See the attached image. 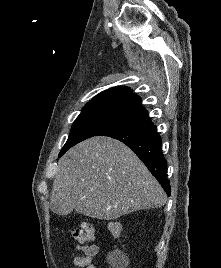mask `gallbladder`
<instances>
[{
  "label": "gallbladder",
  "instance_id": "obj_1",
  "mask_svg": "<svg viewBox=\"0 0 221 268\" xmlns=\"http://www.w3.org/2000/svg\"><path fill=\"white\" fill-rule=\"evenodd\" d=\"M69 204H73V199H56L55 202H52L51 210L53 213H57L58 217H67L68 213L76 210V205Z\"/></svg>",
  "mask_w": 221,
  "mask_h": 268
}]
</instances>
